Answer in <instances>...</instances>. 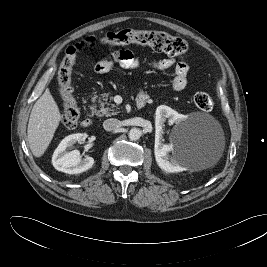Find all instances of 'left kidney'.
Masks as SVG:
<instances>
[{
    "instance_id": "left-kidney-1",
    "label": "left kidney",
    "mask_w": 267,
    "mask_h": 267,
    "mask_svg": "<svg viewBox=\"0 0 267 267\" xmlns=\"http://www.w3.org/2000/svg\"><path fill=\"white\" fill-rule=\"evenodd\" d=\"M169 119V123H180L186 119L185 115L179 114L177 111L166 105H160L155 112V128L156 139L154 146L155 159L158 166L166 173H178L186 170L185 167L180 165L173 157L168 155L172 150L171 145L163 144L160 136L163 134L164 122Z\"/></svg>"
}]
</instances>
